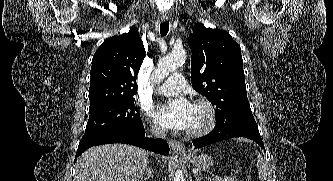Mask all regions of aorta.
I'll list each match as a JSON object with an SVG mask.
<instances>
[{"label": "aorta", "instance_id": "762f6f07", "mask_svg": "<svg viewBox=\"0 0 333 181\" xmlns=\"http://www.w3.org/2000/svg\"><path fill=\"white\" fill-rule=\"evenodd\" d=\"M185 50H175L168 56L163 58L157 64L152 78L154 81L160 83L170 73L174 72L186 60ZM173 181H185L181 171H176Z\"/></svg>", "mask_w": 333, "mask_h": 181}]
</instances>
